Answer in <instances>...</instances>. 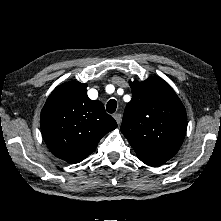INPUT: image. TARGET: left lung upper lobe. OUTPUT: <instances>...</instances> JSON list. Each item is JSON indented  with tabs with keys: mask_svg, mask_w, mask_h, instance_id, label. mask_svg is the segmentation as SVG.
Listing matches in <instances>:
<instances>
[{
	"mask_svg": "<svg viewBox=\"0 0 221 221\" xmlns=\"http://www.w3.org/2000/svg\"><path fill=\"white\" fill-rule=\"evenodd\" d=\"M121 132L142 162L162 165L179 150L187 128L184 105L160 77L130 82Z\"/></svg>",
	"mask_w": 221,
	"mask_h": 221,
	"instance_id": "1",
	"label": "left lung upper lobe"
}]
</instances>
